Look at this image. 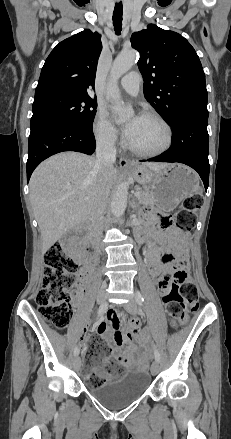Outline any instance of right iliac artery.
<instances>
[{
	"label": "right iliac artery",
	"mask_w": 231,
	"mask_h": 439,
	"mask_svg": "<svg viewBox=\"0 0 231 439\" xmlns=\"http://www.w3.org/2000/svg\"><path fill=\"white\" fill-rule=\"evenodd\" d=\"M107 310V304H105L104 306H100L99 310H98V315H102L104 312H106ZM80 352V349L78 347H75L74 349V355L77 356Z\"/></svg>",
	"instance_id": "obj_1"
}]
</instances>
